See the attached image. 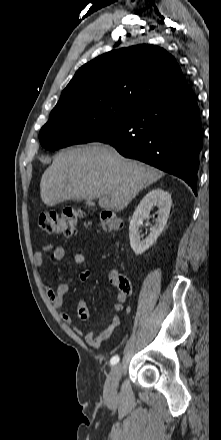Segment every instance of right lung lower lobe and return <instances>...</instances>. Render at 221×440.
<instances>
[{"mask_svg":"<svg viewBox=\"0 0 221 440\" xmlns=\"http://www.w3.org/2000/svg\"><path fill=\"white\" fill-rule=\"evenodd\" d=\"M97 141L183 179L196 194L202 134L199 108L190 86L137 107Z\"/></svg>","mask_w":221,"mask_h":440,"instance_id":"1","label":"right lung lower lobe"}]
</instances>
